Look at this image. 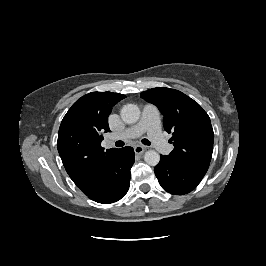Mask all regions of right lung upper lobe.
<instances>
[{
  "mask_svg": "<svg viewBox=\"0 0 266 266\" xmlns=\"http://www.w3.org/2000/svg\"><path fill=\"white\" fill-rule=\"evenodd\" d=\"M125 96L111 92H91L79 98L64 116L57 149L63 165L85 195L101 184L117 148L101 147L102 134L110 132L108 116Z\"/></svg>",
  "mask_w": 266,
  "mask_h": 266,
  "instance_id": "right-lung-upper-lobe-1",
  "label": "right lung upper lobe"
}]
</instances>
